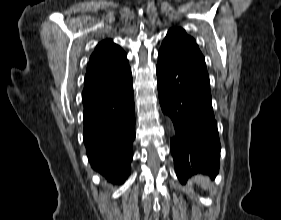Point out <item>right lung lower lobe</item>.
<instances>
[{"instance_id": "right-lung-lower-lobe-1", "label": "right lung lower lobe", "mask_w": 281, "mask_h": 220, "mask_svg": "<svg viewBox=\"0 0 281 220\" xmlns=\"http://www.w3.org/2000/svg\"><path fill=\"white\" fill-rule=\"evenodd\" d=\"M84 144L92 168L122 184L130 174L135 138L132 78L112 90L82 95Z\"/></svg>"}]
</instances>
